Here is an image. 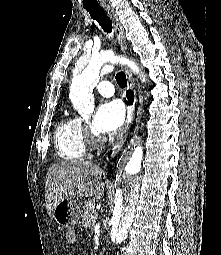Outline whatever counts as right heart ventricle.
<instances>
[{"instance_id": "e07e8e85", "label": "right heart ventricle", "mask_w": 221, "mask_h": 255, "mask_svg": "<svg viewBox=\"0 0 221 255\" xmlns=\"http://www.w3.org/2000/svg\"><path fill=\"white\" fill-rule=\"evenodd\" d=\"M55 147L58 155L68 161L80 160L87 152V140L82 121L78 117L66 116L55 132Z\"/></svg>"}]
</instances>
